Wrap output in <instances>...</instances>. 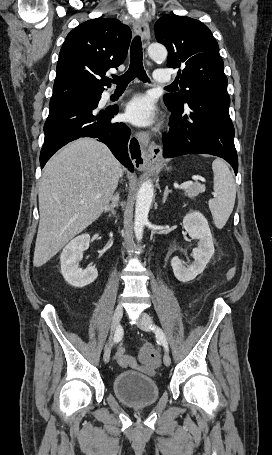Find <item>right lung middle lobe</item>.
I'll return each instance as SVG.
<instances>
[{
  "mask_svg": "<svg viewBox=\"0 0 272 455\" xmlns=\"http://www.w3.org/2000/svg\"><path fill=\"white\" fill-rule=\"evenodd\" d=\"M101 95L80 97L69 99L59 102H50L49 103V113L57 111L65 107H87L93 104H98Z\"/></svg>",
  "mask_w": 272,
  "mask_h": 455,
  "instance_id": "dd1d6c3e",
  "label": "right lung middle lobe"
}]
</instances>
